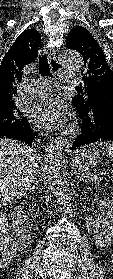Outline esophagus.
<instances>
[{"mask_svg": "<svg viewBox=\"0 0 113 279\" xmlns=\"http://www.w3.org/2000/svg\"><path fill=\"white\" fill-rule=\"evenodd\" d=\"M47 55H48V59H49V64H50V67L52 69V71H54L55 73H59L62 71L63 69V66L60 62L57 61L56 59V52H55V49L53 48H49V47H46L45 49ZM73 126V133L71 135H69L67 138H66V141L64 143V146H65V149L66 150H69L71 144H72V141L73 139L75 138L76 136V132L78 129H77V125L76 123H73L72 124Z\"/></svg>", "mask_w": 113, "mask_h": 279, "instance_id": "esophagus-1", "label": "esophagus"}]
</instances>
